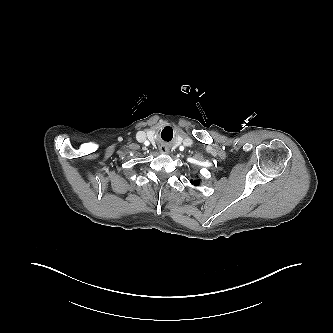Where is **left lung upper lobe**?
<instances>
[{"label": "left lung upper lobe", "mask_w": 333, "mask_h": 333, "mask_svg": "<svg viewBox=\"0 0 333 333\" xmlns=\"http://www.w3.org/2000/svg\"><path fill=\"white\" fill-rule=\"evenodd\" d=\"M192 184H195V185H198L199 184V180H196V181H191Z\"/></svg>", "instance_id": "5c2ea615"}]
</instances>
